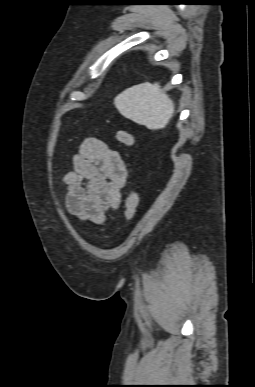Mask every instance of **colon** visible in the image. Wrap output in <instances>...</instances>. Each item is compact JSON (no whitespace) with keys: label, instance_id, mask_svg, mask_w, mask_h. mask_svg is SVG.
<instances>
[{"label":"colon","instance_id":"colon-1","mask_svg":"<svg viewBox=\"0 0 255 387\" xmlns=\"http://www.w3.org/2000/svg\"><path fill=\"white\" fill-rule=\"evenodd\" d=\"M116 138L120 143L129 148L133 147L135 144L133 135L127 130H118L116 133ZM138 202L139 198L137 193L130 191L125 201L124 218L126 221H130L134 218L138 207Z\"/></svg>","mask_w":255,"mask_h":387}]
</instances>
